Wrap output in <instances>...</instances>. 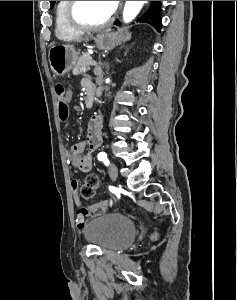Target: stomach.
I'll use <instances>...</instances> for the list:
<instances>
[{"label": "stomach", "mask_w": 237, "mask_h": 300, "mask_svg": "<svg viewBox=\"0 0 237 300\" xmlns=\"http://www.w3.org/2000/svg\"><path fill=\"white\" fill-rule=\"evenodd\" d=\"M88 39H93L97 49L100 51H110L122 41H130L131 35L128 31H118V33H111V31H98L89 35ZM78 51L74 49L73 45H54L50 47L48 59L51 71L55 75H66L74 67L78 59Z\"/></svg>", "instance_id": "1"}]
</instances>
